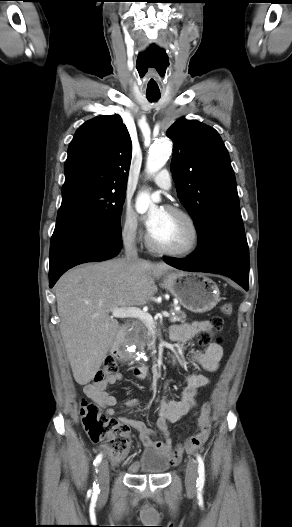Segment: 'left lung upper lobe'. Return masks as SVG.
<instances>
[{"instance_id":"1","label":"left lung upper lobe","mask_w":292,"mask_h":527,"mask_svg":"<svg viewBox=\"0 0 292 527\" xmlns=\"http://www.w3.org/2000/svg\"><path fill=\"white\" fill-rule=\"evenodd\" d=\"M174 139L171 171L178 198L191 214L198 244L224 235H245L234 171L218 132L180 119L167 131Z\"/></svg>"}]
</instances>
